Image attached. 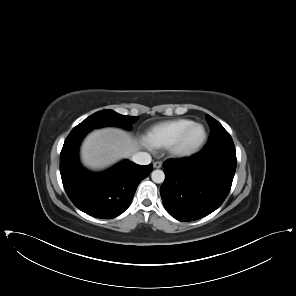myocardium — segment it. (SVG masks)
<instances>
[{
  "mask_svg": "<svg viewBox=\"0 0 296 296\" xmlns=\"http://www.w3.org/2000/svg\"><path fill=\"white\" fill-rule=\"evenodd\" d=\"M193 127H199L202 130V135L199 142L191 147V148H182L181 144L185 137V135L189 132V130ZM207 138V132L203 124L198 122H192L187 127H185L175 138L174 140L167 146L168 154L173 158H188L196 153H198L205 144Z\"/></svg>",
  "mask_w": 296,
  "mask_h": 296,
  "instance_id": "1",
  "label": "myocardium"
}]
</instances>
